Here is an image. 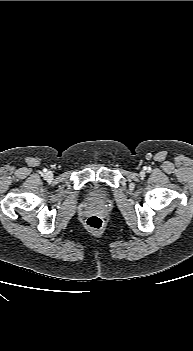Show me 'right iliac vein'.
<instances>
[{
  "label": "right iliac vein",
  "instance_id": "63e3f726",
  "mask_svg": "<svg viewBox=\"0 0 193 351\" xmlns=\"http://www.w3.org/2000/svg\"><path fill=\"white\" fill-rule=\"evenodd\" d=\"M52 173L51 172H47L46 174H45V178L46 179H51L52 178Z\"/></svg>",
  "mask_w": 193,
  "mask_h": 351
}]
</instances>
